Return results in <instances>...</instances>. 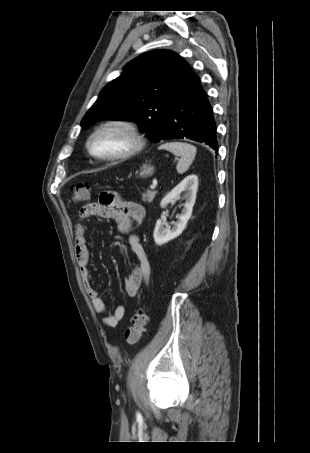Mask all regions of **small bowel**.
I'll use <instances>...</instances> for the list:
<instances>
[{"instance_id":"c3829d8e","label":"small bowel","mask_w":310,"mask_h":453,"mask_svg":"<svg viewBox=\"0 0 310 453\" xmlns=\"http://www.w3.org/2000/svg\"><path fill=\"white\" fill-rule=\"evenodd\" d=\"M92 216L114 219L117 222L119 230L122 233L129 234L128 243L131 250L137 256L139 265L127 277L124 287L129 297H135L140 287L149 281L150 264L139 237L135 234H130V231L133 225H140L144 222L146 212L140 204L123 200L115 194L112 203L109 205H103L99 200L98 202H91L84 205L78 212L74 248L83 285L95 311L106 313L102 319L103 324L107 327H116L125 316V307L119 305L112 312L107 313L106 305L93 283L92 273L88 268L90 254L85 237L86 226L84 222Z\"/></svg>"}]
</instances>
